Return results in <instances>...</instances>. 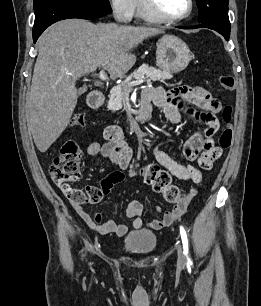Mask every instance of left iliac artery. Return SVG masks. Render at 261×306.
Masks as SVG:
<instances>
[{"mask_svg": "<svg viewBox=\"0 0 261 306\" xmlns=\"http://www.w3.org/2000/svg\"><path fill=\"white\" fill-rule=\"evenodd\" d=\"M180 234H181V239H182V243H183V253L185 254V256L187 257L188 260L189 259V256H188V253H189V249H188V238H187V234H186V231L185 229L180 226Z\"/></svg>", "mask_w": 261, "mask_h": 306, "instance_id": "1", "label": "left iliac artery"}]
</instances>
